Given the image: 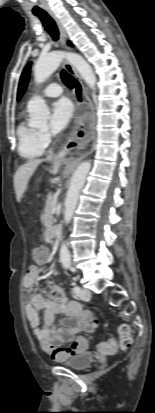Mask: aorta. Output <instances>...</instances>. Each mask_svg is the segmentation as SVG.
<instances>
[{
    "label": "aorta",
    "instance_id": "obj_1",
    "mask_svg": "<svg viewBox=\"0 0 155 413\" xmlns=\"http://www.w3.org/2000/svg\"><path fill=\"white\" fill-rule=\"evenodd\" d=\"M63 59H67L79 72L85 83L93 90L96 86V76L92 67L79 54L64 53L61 51H54L48 55L41 56L34 65V80L36 83L44 82L60 65ZM29 113V122L34 127H40L47 123L49 117V109L45 101L39 97L34 96L27 104ZM91 168L90 161H84L76 168L71 177L69 189L65 199L64 209V223L69 224L77 206L80 191L82 190L88 172ZM60 261L66 268L71 265V256L69 249L65 243L60 247Z\"/></svg>",
    "mask_w": 155,
    "mask_h": 413
}]
</instances>
